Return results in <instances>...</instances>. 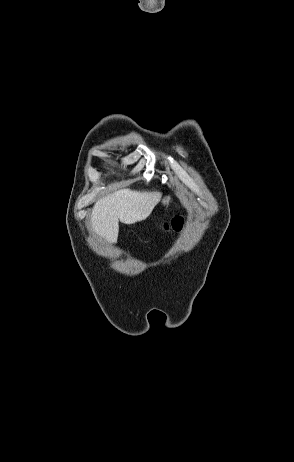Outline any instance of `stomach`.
<instances>
[{"instance_id":"0dacf381","label":"stomach","mask_w":294,"mask_h":462,"mask_svg":"<svg viewBox=\"0 0 294 462\" xmlns=\"http://www.w3.org/2000/svg\"><path fill=\"white\" fill-rule=\"evenodd\" d=\"M170 201H171V198L169 196H167V197H164L162 199L161 203H162V205L165 206V205H168L170 203Z\"/></svg>"}]
</instances>
